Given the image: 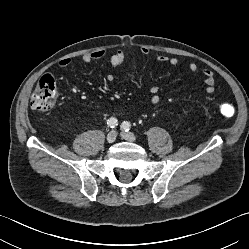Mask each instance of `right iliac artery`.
Masks as SVG:
<instances>
[{
    "mask_svg": "<svg viewBox=\"0 0 249 249\" xmlns=\"http://www.w3.org/2000/svg\"><path fill=\"white\" fill-rule=\"evenodd\" d=\"M108 126L115 128L118 125V120L116 118H110L107 121Z\"/></svg>",
    "mask_w": 249,
    "mask_h": 249,
    "instance_id": "obj_1",
    "label": "right iliac artery"
}]
</instances>
